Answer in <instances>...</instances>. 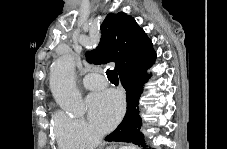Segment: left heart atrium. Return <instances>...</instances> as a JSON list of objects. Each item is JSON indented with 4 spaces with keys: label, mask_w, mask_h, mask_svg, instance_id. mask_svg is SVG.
Here are the masks:
<instances>
[{
    "label": "left heart atrium",
    "mask_w": 227,
    "mask_h": 149,
    "mask_svg": "<svg viewBox=\"0 0 227 149\" xmlns=\"http://www.w3.org/2000/svg\"><path fill=\"white\" fill-rule=\"evenodd\" d=\"M87 105L91 122L102 132L111 130L120 120L124 110L123 97L114 90L90 95Z\"/></svg>",
    "instance_id": "obj_1"
}]
</instances>
